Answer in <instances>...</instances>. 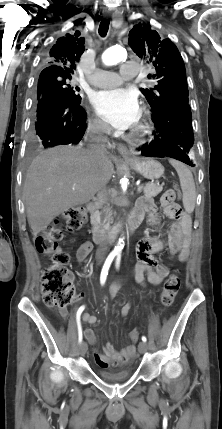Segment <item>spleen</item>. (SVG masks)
<instances>
[{"instance_id":"1","label":"spleen","mask_w":222,"mask_h":429,"mask_svg":"<svg viewBox=\"0 0 222 429\" xmlns=\"http://www.w3.org/2000/svg\"><path fill=\"white\" fill-rule=\"evenodd\" d=\"M170 164L175 168L183 193V206L187 213H192L196 202V188L193 175L187 166L177 160H169Z\"/></svg>"}]
</instances>
